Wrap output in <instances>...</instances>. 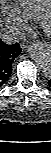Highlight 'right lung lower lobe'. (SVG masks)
<instances>
[{
  "instance_id": "1",
  "label": "right lung lower lobe",
  "mask_w": 51,
  "mask_h": 153,
  "mask_svg": "<svg viewBox=\"0 0 51 153\" xmlns=\"http://www.w3.org/2000/svg\"><path fill=\"white\" fill-rule=\"evenodd\" d=\"M20 52L18 43L8 45L0 40V87L8 81L12 73V62Z\"/></svg>"
}]
</instances>
